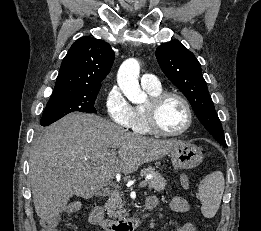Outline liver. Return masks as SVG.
Returning <instances> with one entry per match:
<instances>
[{
	"label": "liver",
	"instance_id": "obj_1",
	"mask_svg": "<svg viewBox=\"0 0 261 231\" xmlns=\"http://www.w3.org/2000/svg\"><path fill=\"white\" fill-rule=\"evenodd\" d=\"M181 144L128 132L97 115L68 114L46 128L30 154L36 213L42 221L51 220L73 195L90 198L118 173H133Z\"/></svg>",
	"mask_w": 261,
	"mask_h": 231
}]
</instances>
